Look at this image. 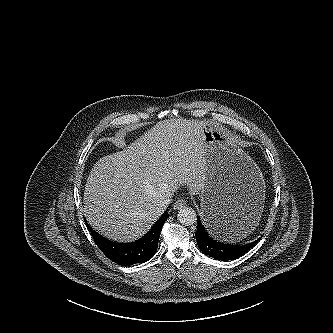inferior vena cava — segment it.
Returning <instances> with one entry per match:
<instances>
[{
  "instance_id": "obj_1",
  "label": "inferior vena cava",
  "mask_w": 333,
  "mask_h": 333,
  "mask_svg": "<svg viewBox=\"0 0 333 333\" xmlns=\"http://www.w3.org/2000/svg\"><path fill=\"white\" fill-rule=\"evenodd\" d=\"M170 203H171V195L166 194L158 202V208L164 211Z\"/></svg>"
}]
</instances>
